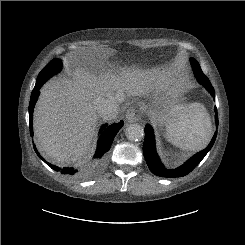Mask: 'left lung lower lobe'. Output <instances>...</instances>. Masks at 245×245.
I'll list each match as a JSON object with an SVG mask.
<instances>
[{
	"instance_id": "obj_1",
	"label": "left lung lower lobe",
	"mask_w": 245,
	"mask_h": 245,
	"mask_svg": "<svg viewBox=\"0 0 245 245\" xmlns=\"http://www.w3.org/2000/svg\"><path fill=\"white\" fill-rule=\"evenodd\" d=\"M201 84V83H200ZM204 87L211 93V95L215 98V92L214 88L212 87L210 81H205L202 83ZM215 122L216 126L218 128V114H217V108L215 107ZM217 136V132L214 133V136L209 143V145L202 151L195 154L193 157H191L187 162H185L182 166L176 168V169H166L155 149V139L153 134V129L150 125L145 126V140L143 144V153L146 160V163L151 170V172L157 176L160 177H182L190 173L206 156V154L209 152V150L212 148L215 139Z\"/></svg>"
}]
</instances>
